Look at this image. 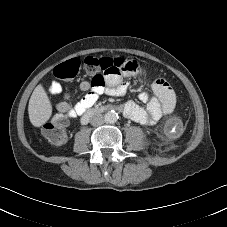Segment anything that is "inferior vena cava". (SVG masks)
Returning a JSON list of instances; mask_svg holds the SVG:
<instances>
[{
	"label": "inferior vena cava",
	"mask_w": 227,
	"mask_h": 227,
	"mask_svg": "<svg viewBox=\"0 0 227 227\" xmlns=\"http://www.w3.org/2000/svg\"><path fill=\"white\" fill-rule=\"evenodd\" d=\"M104 117L102 114H95L91 117L90 122L93 126H100L104 123Z\"/></svg>",
	"instance_id": "inferior-vena-cava-1"
}]
</instances>
